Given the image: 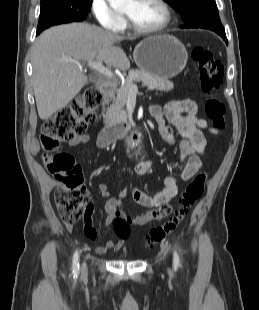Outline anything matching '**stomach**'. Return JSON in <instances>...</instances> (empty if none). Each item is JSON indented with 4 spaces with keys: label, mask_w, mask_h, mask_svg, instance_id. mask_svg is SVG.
<instances>
[{
    "label": "stomach",
    "mask_w": 259,
    "mask_h": 310,
    "mask_svg": "<svg viewBox=\"0 0 259 310\" xmlns=\"http://www.w3.org/2000/svg\"><path fill=\"white\" fill-rule=\"evenodd\" d=\"M138 68L149 75L170 79L179 75L187 63V51L174 36L163 34L148 37L134 49Z\"/></svg>",
    "instance_id": "1"
}]
</instances>
